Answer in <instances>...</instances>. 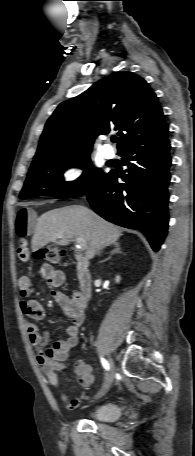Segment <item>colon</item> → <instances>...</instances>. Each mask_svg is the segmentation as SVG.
Masks as SVG:
<instances>
[{
  "label": "colon",
  "instance_id": "colon-1",
  "mask_svg": "<svg viewBox=\"0 0 195 456\" xmlns=\"http://www.w3.org/2000/svg\"><path fill=\"white\" fill-rule=\"evenodd\" d=\"M35 256L52 267H62L66 264L67 253L61 248L49 246L37 251Z\"/></svg>",
  "mask_w": 195,
  "mask_h": 456
}]
</instances>
